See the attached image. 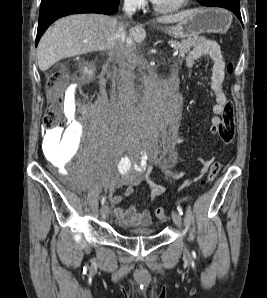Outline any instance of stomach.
<instances>
[{"mask_svg":"<svg viewBox=\"0 0 267 298\" xmlns=\"http://www.w3.org/2000/svg\"><path fill=\"white\" fill-rule=\"evenodd\" d=\"M188 15L164 32L177 39L197 36L200 33L224 34L232 22V15L222 8H199L188 10Z\"/></svg>","mask_w":267,"mask_h":298,"instance_id":"obj_1","label":"stomach"}]
</instances>
